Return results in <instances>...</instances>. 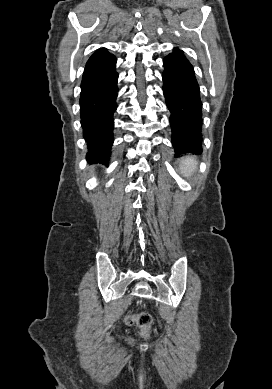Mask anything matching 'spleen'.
<instances>
[{
    "mask_svg": "<svg viewBox=\"0 0 272 389\" xmlns=\"http://www.w3.org/2000/svg\"><path fill=\"white\" fill-rule=\"evenodd\" d=\"M180 168L184 176H189L197 168V161L192 157H186L181 160Z\"/></svg>",
    "mask_w": 272,
    "mask_h": 389,
    "instance_id": "1",
    "label": "spleen"
}]
</instances>
